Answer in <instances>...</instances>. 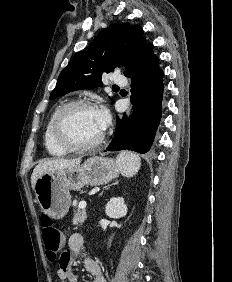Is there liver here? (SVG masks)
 I'll return each mask as SVG.
<instances>
[{
    "instance_id": "obj_1",
    "label": "liver",
    "mask_w": 232,
    "mask_h": 282,
    "mask_svg": "<svg viewBox=\"0 0 232 282\" xmlns=\"http://www.w3.org/2000/svg\"><path fill=\"white\" fill-rule=\"evenodd\" d=\"M81 159H64V158H58V159H48L43 160L39 162V164L34 168L32 176H31V185L34 190L35 183L37 179L44 173L55 171V170H62V169H68L73 168L75 166L80 165Z\"/></svg>"
}]
</instances>
